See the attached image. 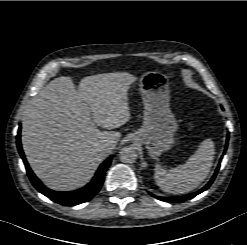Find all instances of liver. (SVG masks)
I'll return each mask as SVG.
<instances>
[{"mask_svg": "<svg viewBox=\"0 0 247 245\" xmlns=\"http://www.w3.org/2000/svg\"><path fill=\"white\" fill-rule=\"evenodd\" d=\"M136 77L127 72L87 76L78 90L71 77L48 83L28 104L22 146L30 167L50 189L70 191L90 181L121 134L114 129L130 119L128 90Z\"/></svg>", "mask_w": 247, "mask_h": 245, "instance_id": "1", "label": "liver"}]
</instances>
